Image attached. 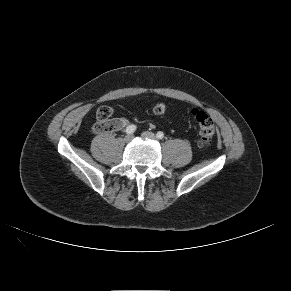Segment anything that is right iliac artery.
I'll return each mask as SVG.
<instances>
[{"mask_svg": "<svg viewBox=\"0 0 291 291\" xmlns=\"http://www.w3.org/2000/svg\"><path fill=\"white\" fill-rule=\"evenodd\" d=\"M135 130H136V126L132 124L126 128L125 132L127 134H133L135 132Z\"/></svg>", "mask_w": 291, "mask_h": 291, "instance_id": "obj_1", "label": "right iliac artery"}]
</instances>
